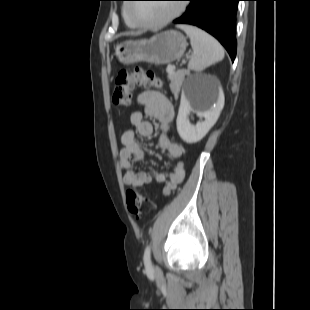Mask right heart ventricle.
Masks as SVG:
<instances>
[{
	"instance_id": "right-heart-ventricle-1",
	"label": "right heart ventricle",
	"mask_w": 310,
	"mask_h": 310,
	"mask_svg": "<svg viewBox=\"0 0 310 310\" xmlns=\"http://www.w3.org/2000/svg\"><path fill=\"white\" fill-rule=\"evenodd\" d=\"M124 17H125V20H126V23L132 27V28H137V26H135L131 21H129V19L126 17L125 15V9H124Z\"/></svg>"
}]
</instances>
